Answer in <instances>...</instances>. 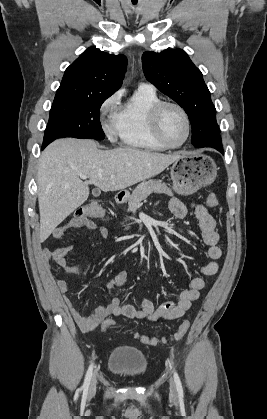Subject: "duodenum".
<instances>
[{
    "label": "duodenum",
    "instance_id": "1",
    "mask_svg": "<svg viewBox=\"0 0 267 419\" xmlns=\"http://www.w3.org/2000/svg\"><path fill=\"white\" fill-rule=\"evenodd\" d=\"M123 201H124V197H123L122 195H117V196L115 197V202H116L117 204H121Z\"/></svg>",
    "mask_w": 267,
    "mask_h": 419
}]
</instances>
